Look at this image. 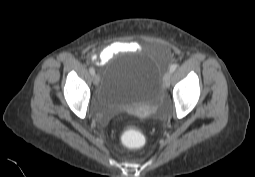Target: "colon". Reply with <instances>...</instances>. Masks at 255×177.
<instances>
[{
    "mask_svg": "<svg viewBox=\"0 0 255 177\" xmlns=\"http://www.w3.org/2000/svg\"><path fill=\"white\" fill-rule=\"evenodd\" d=\"M122 142L126 147L136 149L142 145L143 136L138 131L130 130L123 134Z\"/></svg>",
    "mask_w": 255,
    "mask_h": 177,
    "instance_id": "5ec220e1",
    "label": "colon"
}]
</instances>
